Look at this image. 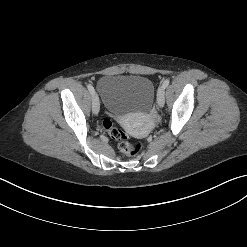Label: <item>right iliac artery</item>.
Instances as JSON below:
<instances>
[{"mask_svg": "<svg viewBox=\"0 0 247 247\" xmlns=\"http://www.w3.org/2000/svg\"><path fill=\"white\" fill-rule=\"evenodd\" d=\"M87 88H88L89 92H90V93L92 94V96H93L94 93H95L93 86H92L91 84H88V85H87Z\"/></svg>", "mask_w": 247, "mask_h": 247, "instance_id": "right-iliac-artery-1", "label": "right iliac artery"}]
</instances>
